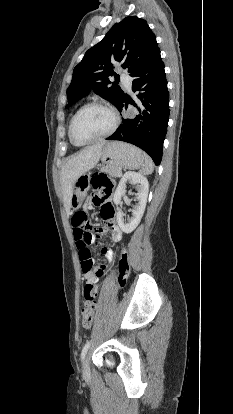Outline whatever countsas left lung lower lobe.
Returning a JSON list of instances; mask_svg holds the SVG:
<instances>
[{"mask_svg": "<svg viewBox=\"0 0 233 414\" xmlns=\"http://www.w3.org/2000/svg\"><path fill=\"white\" fill-rule=\"evenodd\" d=\"M132 77L135 78L132 90L138 95L136 102L129 103L136 107L137 115L123 119L116 132L107 139L136 145L159 165L169 120V92L160 50ZM127 105L128 100L124 97L117 109L121 112Z\"/></svg>", "mask_w": 233, "mask_h": 414, "instance_id": "0a47b994", "label": "left lung lower lobe"}]
</instances>
